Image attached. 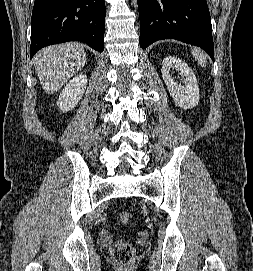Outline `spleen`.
<instances>
[{"label":"spleen","mask_w":253,"mask_h":271,"mask_svg":"<svg viewBox=\"0 0 253 271\" xmlns=\"http://www.w3.org/2000/svg\"><path fill=\"white\" fill-rule=\"evenodd\" d=\"M192 54L202 67L206 66V56L203 54V52L198 49H193Z\"/></svg>","instance_id":"spleen-1"}]
</instances>
